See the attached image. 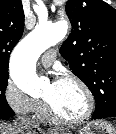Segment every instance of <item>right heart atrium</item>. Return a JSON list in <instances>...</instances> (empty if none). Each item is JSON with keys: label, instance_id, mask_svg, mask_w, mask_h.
I'll return each instance as SVG.
<instances>
[{"label": "right heart atrium", "instance_id": "1", "mask_svg": "<svg viewBox=\"0 0 116 134\" xmlns=\"http://www.w3.org/2000/svg\"><path fill=\"white\" fill-rule=\"evenodd\" d=\"M3 97L7 106L17 115H33L44 106L43 102L23 92L12 79H8Z\"/></svg>", "mask_w": 116, "mask_h": 134}]
</instances>
